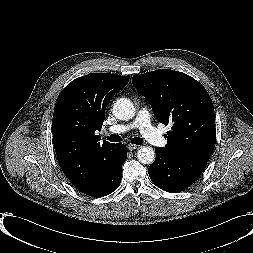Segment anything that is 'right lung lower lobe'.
Here are the masks:
<instances>
[{
  "label": "right lung lower lobe",
  "mask_w": 253,
  "mask_h": 253,
  "mask_svg": "<svg viewBox=\"0 0 253 253\" xmlns=\"http://www.w3.org/2000/svg\"><path fill=\"white\" fill-rule=\"evenodd\" d=\"M127 158V147L124 144H116L113 158L94 181L85 188L80 189L86 195L102 197L112 193L121 182V168Z\"/></svg>",
  "instance_id": "98d812e1"
}]
</instances>
